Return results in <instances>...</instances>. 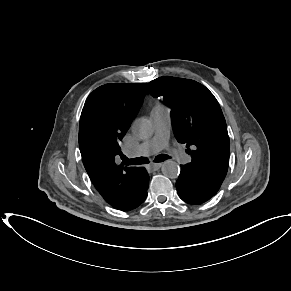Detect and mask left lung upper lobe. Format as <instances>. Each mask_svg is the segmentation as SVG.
Wrapping results in <instances>:
<instances>
[{
  "instance_id": "1",
  "label": "left lung upper lobe",
  "mask_w": 291,
  "mask_h": 291,
  "mask_svg": "<svg viewBox=\"0 0 291 291\" xmlns=\"http://www.w3.org/2000/svg\"><path fill=\"white\" fill-rule=\"evenodd\" d=\"M149 93L163 96L171 110L174 135L190 146L187 165L223 182L229 164L230 142L225 118L214 95L202 84L183 78L159 77L149 83Z\"/></svg>"
}]
</instances>
